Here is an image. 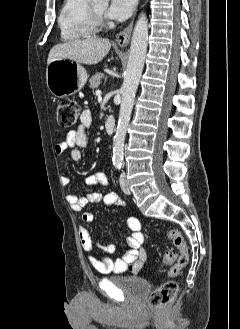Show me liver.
<instances>
[{"label": "liver", "mask_w": 240, "mask_h": 329, "mask_svg": "<svg viewBox=\"0 0 240 329\" xmlns=\"http://www.w3.org/2000/svg\"><path fill=\"white\" fill-rule=\"evenodd\" d=\"M110 48L108 39L89 37L73 40L55 45L49 52L47 64L57 59H70L79 64L94 65L107 55Z\"/></svg>", "instance_id": "1"}]
</instances>
